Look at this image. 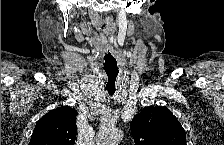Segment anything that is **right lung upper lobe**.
Segmentation results:
<instances>
[{"label":"right lung upper lobe","mask_w":224,"mask_h":145,"mask_svg":"<svg viewBox=\"0 0 224 145\" xmlns=\"http://www.w3.org/2000/svg\"><path fill=\"white\" fill-rule=\"evenodd\" d=\"M76 111L70 106L56 108L44 115L35 126L30 145H73L77 129Z\"/></svg>","instance_id":"cb5924a9"}]
</instances>
